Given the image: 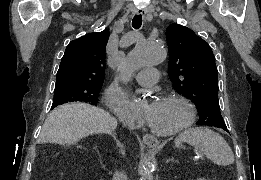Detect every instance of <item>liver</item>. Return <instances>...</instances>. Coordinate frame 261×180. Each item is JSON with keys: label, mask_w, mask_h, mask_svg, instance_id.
<instances>
[{"label": "liver", "mask_w": 261, "mask_h": 180, "mask_svg": "<svg viewBox=\"0 0 261 180\" xmlns=\"http://www.w3.org/2000/svg\"><path fill=\"white\" fill-rule=\"evenodd\" d=\"M117 122L108 112L90 104H64L51 112L42 128L41 142L75 146L93 134H111Z\"/></svg>", "instance_id": "obj_1"}]
</instances>
